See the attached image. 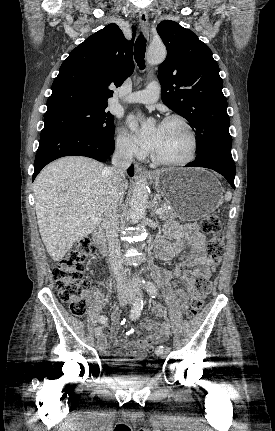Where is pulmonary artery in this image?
Masks as SVG:
<instances>
[{
    "instance_id": "1",
    "label": "pulmonary artery",
    "mask_w": 275,
    "mask_h": 431,
    "mask_svg": "<svg viewBox=\"0 0 275 431\" xmlns=\"http://www.w3.org/2000/svg\"><path fill=\"white\" fill-rule=\"evenodd\" d=\"M160 96V85L158 82H151L146 89L134 92L127 96L126 101L129 103L153 104Z\"/></svg>"
}]
</instances>
